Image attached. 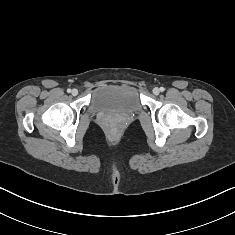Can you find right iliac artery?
<instances>
[{
	"instance_id": "obj_1",
	"label": "right iliac artery",
	"mask_w": 235,
	"mask_h": 235,
	"mask_svg": "<svg viewBox=\"0 0 235 235\" xmlns=\"http://www.w3.org/2000/svg\"><path fill=\"white\" fill-rule=\"evenodd\" d=\"M67 92L70 93V92H71V89H67Z\"/></svg>"
}]
</instances>
